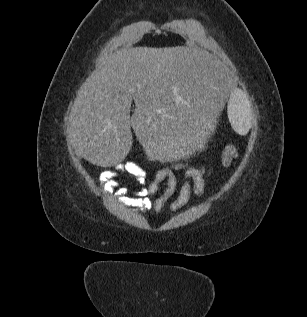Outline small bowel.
I'll return each mask as SVG.
<instances>
[{
    "instance_id": "c3829d8e",
    "label": "small bowel",
    "mask_w": 307,
    "mask_h": 317,
    "mask_svg": "<svg viewBox=\"0 0 307 317\" xmlns=\"http://www.w3.org/2000/svg\"><path fill=\"white\" fill-rule=\"evenodd\" d=\"M115 169L121 170L129 179L138 184L141 189L137 192L135 198L121 197L126 203L137 206L141 212L154 210L160 212L166 206L167 201L175 193L178 180L171 169L162 168L157 171L153 180H147V172L140 165L124 161L115 166ZM116 175L115 171L106 170L101 173L99 183L103 190L112 191V178ZM166 183L163 193L154 201L150 197L155 195L162 183ZM205 190V181L201 172L195 169H188L184 174L182 184L179 189L178 197L172 201L167 209L177 211L182 208L189 200L193 192L197 197L201 196Z\"/></svg>"
}]
</instances>
